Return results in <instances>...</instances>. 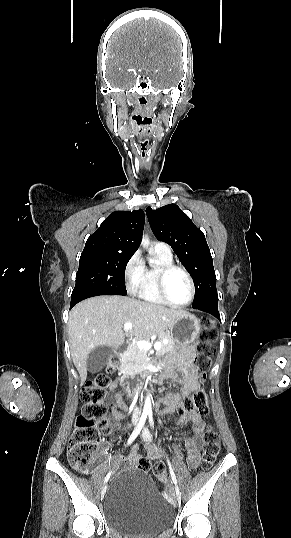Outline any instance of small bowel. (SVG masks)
<instances>
[{"mask_svg": "<svg viewBox=\"0 0 291 538\" xmlns=\"http://www.w3.org/2000/svg\"><path fill=\"white\" fill-rule=\"evenodd\" d=\"M192 349H185L176 355H172L167 359V373L166 377L173 383L179 386L178 392L168 393L160 399L158 405L159 414L169 415L179 409L183 401L190 396L193 392L198 390L199 382L196 372L192 365ZM123 381V377H119L112 381L108 387L111 395V418L114 422H120L125 419V415L121 411L127 409L122 394L113 392L117 389L118 385ZM190 422L192 424V430L194 436L192 438H186L184 440V448L187 452L186 463L189 468L196 469L200 464V449L203 444L205 434V422L199 414L184 413L179 424L181 426ZM110 423V422H109ZM111 424V423H110ZM162 454L153 447H147V458L153 460L161 457ZM138 446H134L127 459H119L120 465L128 466L135 464L141 458Z\"/></svg>", "mask_w": 291, "mask_h": 538, "instance_id": "obj_1", "label": "small bowel"}]
</instances>
